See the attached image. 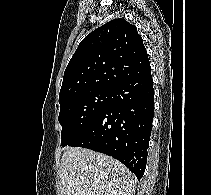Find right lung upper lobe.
<instances>
[{"mask_svg":"<svg viewBox=\"0 0 211 195\" xmlns=\"http://www.w3.org/2000/svg\"><path fill=\"white\" fill-rule=\"evenodd\" d=\"M149 70L147 51L136 26L114 19L80 42L64 72L59 102L86 90L110 89Z\"/></svg>","mask_w":211,"mask_h":195,"instance_id":"obj_1","label":"right lung upper lobe"}]
</instances>
